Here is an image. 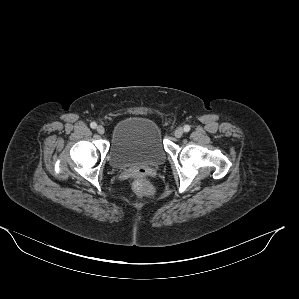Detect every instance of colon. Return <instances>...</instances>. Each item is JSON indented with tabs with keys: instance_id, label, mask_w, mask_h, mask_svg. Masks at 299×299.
Instances as JSON below:
<instances>
[{
	"instance_id": "1",
	"label": "colon",
	"mask_w": 299,
	"mask_h": 299,
	"mask_svg": "<svg viewBox=\"0 0 299 299\" xmlns=\"http://www.w3.org/2000/svg\"><path fill=\"white\" fill-rule=\"evenodd\" d=\"M132 188L134 192L140 196H151L154 193L153 186L149 183L146 178L140 177L136 179L133 184Z\"/></svg>"
}]
</instances>
